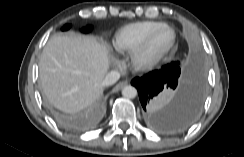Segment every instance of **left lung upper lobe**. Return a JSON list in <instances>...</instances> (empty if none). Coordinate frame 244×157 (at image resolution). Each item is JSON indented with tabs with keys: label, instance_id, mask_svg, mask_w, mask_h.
Masks as SVG:
<instances>
[{
	"label": "left lung upper lobe",
	"instance_id": "left-lung-upper-lobe-1",
	"mask_svg": "<svg viewBox=\"0 0 244 157\" xmlns=\"http://www.w3.org/2000/svg\"><path fill=\"white\" fill-rule=\"evenodd\" d=\"M175 63H172V65H174ZM167 66H170V65H167Z\"/></svg>",
	"mask_w": 244,
	"mask_h": 157
}]
</instances>
